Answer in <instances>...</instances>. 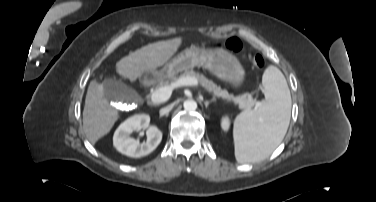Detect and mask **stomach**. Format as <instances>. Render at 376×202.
Returning a JSON list of instances; mask_svg holds the SVG:
<instances>
[{"label":"stomach","mask_w":376,"mask_h":202,"mask_svg":"<svg viewBox=\"0 0 376 202\" xmlns=\"http://www.w3.org/2000/svg\"><path fill=\"white\" fill-rule=\"evenodd\" d=\"M196 66H202L219 79L225 81H240L244 75V70L238 59L226 48L212 50L196 46L183 50L168 62L161 71L151 72L156 77L165 76L172 79L176 78L179 73L193 69ZM148 74L149 71L144 72V76Z\"/></svg>","instance_id":"0dacf381"}]
</instances>
